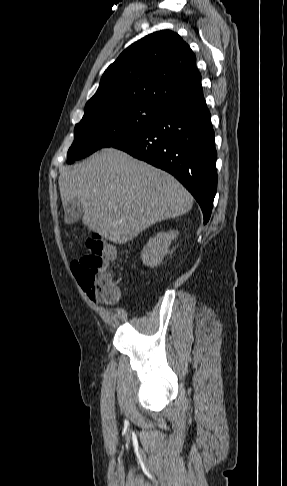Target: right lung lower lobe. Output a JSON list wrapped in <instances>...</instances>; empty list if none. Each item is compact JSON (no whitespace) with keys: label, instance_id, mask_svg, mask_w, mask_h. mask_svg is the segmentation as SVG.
Instances as JSON below:
<instances>
[{"label":"right lung lower lobe","instance_id":"obj_1","mask_svg":"<svg viewBox=\"0 0 287 486\" xmlns=\"http://www.w3.org/2000/svg\"><path fill=\"white\" fill-rule=\"evenodd\" d=\"M203 92L181 101L134 138L113 146L175 176L210 218L217 190L216 149Z\"/></svg>","mask_w":287,"mask_h":486}]
</instances>
